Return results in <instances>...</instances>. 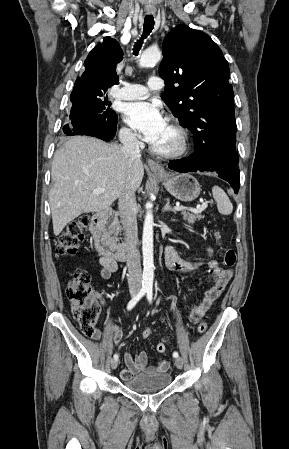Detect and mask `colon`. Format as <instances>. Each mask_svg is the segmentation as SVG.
I'll return each mask as SVG.
<instances>
[{
    "mask_svg": "<svg viewBox=\"0 0 289 449\" xmlns=\"http://www.w3.org/2000/svg\"><path fill=\"white\" fill-rule=\"evenodd\" d=\"M88 223L89 218L87 216L78 217L70 222L57 239V253L60 255H74L78 250L79 244L84 239V232ZM214 235L217 240H220V232L216 231ZM236 259L235 251L228 249L224 254L223 262L227 267H232L235 265ZM66 294L71 303L73 316L78 322L81 331L86 336L94 337L97 332L96 324L99 318V305L92 291L90 275L87 271L78 269L72 273ZM207 327V323L201 321L198 324V332H206ZM151 334V329L146 328L142 332V337L147 339Z\"/></svg>",
    "mask_w": 289,
    "mask_h": 449,
    "instance_id": "1",
    "label": "colon"
}]
</instances>
